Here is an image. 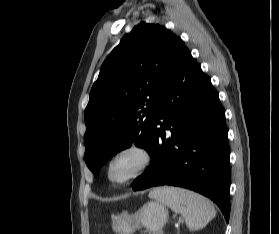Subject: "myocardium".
<instances>
[{"instance_id": "myocardium-1", "label": "myocardium", "mask_w": 279, "mask_h": 234, "mask_svg": "<svg viewBox=\"0 0 279 234\" xmlns=\"http://www.w3.org/2000/svg\"><path fill=\"white\" fill-rule=\"evenodd\" d=\"M132 156L136 159V166L132 169V171L122 179H115L112 176V170L115 164L120 161L122 158ZM152 162V154L151 152L143 145L138 143H130L118 151H116L113 156L108 161L106 167V176L108 181L116 186L122 187L130 184L132 181L141 176L146 169L150 166Z\"/></svg>"}]
</instances>
